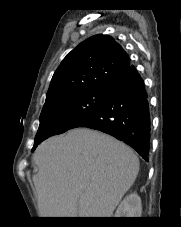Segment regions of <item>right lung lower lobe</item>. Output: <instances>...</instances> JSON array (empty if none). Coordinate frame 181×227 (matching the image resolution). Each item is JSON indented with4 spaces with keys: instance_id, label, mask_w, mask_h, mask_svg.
<instances>
[{
    "instance_id": "right-lung-lower-lobe-1",
    "label": "right lung lower lobe",
    "mask_w": 181,
    "mask_h": 227,
    "mask_svg": "<svg viewBox=\"0 0 181 227\" xmlns=\"http://www.w3.org/2000/svg\"><path fill=\"white\" fill-rule=\"evenodd\" d=\"M79 127L112 135L130 145L148 161L151 132L148 95L134 67L110 85L103 107Z\"/></svg>"
}]
</instances>
